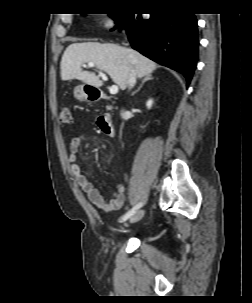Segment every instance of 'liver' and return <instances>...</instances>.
<instances>
[{"instance_id":"liver-1","label":"liver","mask_w":252,"mask_h":303,"mask_svg":"<svg viewBox=\"0 0 252 303\" xmlns=\"http://www.w3.org/2000/svg\"><path fill=\"white\" fill-rule=\"evenodd\" d=\"M84 63H94L100 70L106 72L122 90L128 86L132 69L138 77H144L157 68L155 62L130 48L110 43H73L66 48L62 56L61 79L63 81L77 79L94 87L102 86L103 82L98 76L82 70Z\"/></svg>"}]
</instances>
